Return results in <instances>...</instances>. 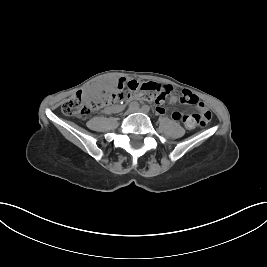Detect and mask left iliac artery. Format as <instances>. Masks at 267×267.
<instances>
[{"label":"left iliac artery","instance_id":"obj_1","mask_svg":"<svg viewBox=\"0 0 267 267\" xmlns=\"http://www.w3.org/2000/svg\"><path fill=\"white\" fill-rule=\"evenodd\" d=\"M142 108H144L145 110L149 111L150 107L148 105H144Z\"/></svg>","mask_w":267,"mask_h":267}]
</instances>
